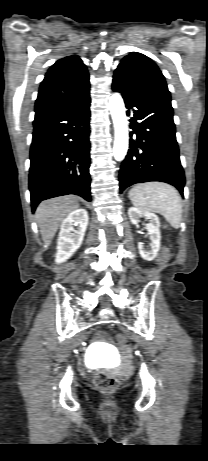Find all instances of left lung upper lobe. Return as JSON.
<instances>
[{"mask_svg": "<svg viewBox=\"0 0 208 461\" xmlns=\"http://www.w3.org/2000/svg\"><path fill=\"white\" fill-rule=\"evenodd\" d=\"M114 76L136 89L170 98L162 72L150 58L141 53L131 52L125 56L115 70Z\"/></svg>", "mask_w": 208, "mask_h": 461, "instance_id": "1", "label": "left lung upper lobe"}]
</instances>
